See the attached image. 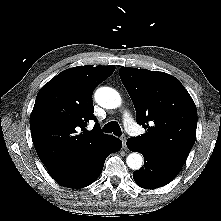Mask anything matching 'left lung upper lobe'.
Instances as JSON below:
<instances>
[{
    "mask_svg": "<svg viewBox=\"0 0 221 221\" xmlns=\"http://www.w3.org/2000/svg\"><path fill=\"white\" fill-rule=\"evenodd\" d=\"M120 78L146 133L132 138L162 159L183 167L196 140V106L178 79L157 71L121 68Z\"/></svg>",
    "mask_w": 221,
    "mask_h": 221,
    "instance_id": "5c2ea615",
    "label": "left lung upper lobe"
}]
</instances>
